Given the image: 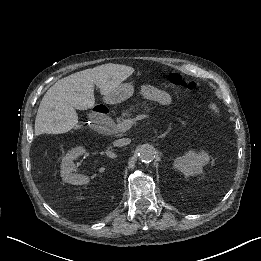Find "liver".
<instances>
[{
	"label": "liver",
	"mask_w": 261,
	"mask_h": 261,
	"mask_svg": "<svg viewBox=\"0 0 261 261\" xmlns=\"http://www.w3.org/2000/svg\"><path fill=\"white\" fill-rule=\"evenodd\" d=\"M132 68L86 69L58 80L43 96L35 119V135L62 134L78 128L77 110L95 105L94 87L108 95L132 75Z\"/></svg>",
	"instance_id": "liver-1"
}]
</instances>
